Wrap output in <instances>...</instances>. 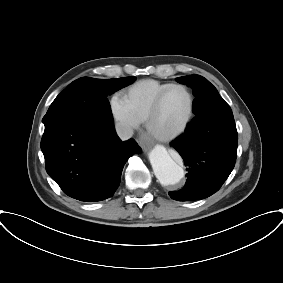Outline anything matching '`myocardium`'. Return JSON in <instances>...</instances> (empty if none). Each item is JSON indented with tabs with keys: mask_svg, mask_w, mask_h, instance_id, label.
I'll return each instance as SVG.
<instances>
[{
	"mask_svg": "<svg viewBox=\"0 0 283 283\" xmlns=\"http://www.w3.org/2000/svg\"><path fill=\"white\" fill-rule=\"evenodd\" d=\"M175 88H180L183 89L184 91H186V93L188 94L189 97V111L188 114L184 120V122L182 123V125L177 128L176 130L167 133V134H160L158 132H156L153 129V121L156 118L162 101L164 99V97L166 96V94ZM194 113H195V97L193 92L191 91V89L189 87H187L184 84H179V83H173L171 85H169L168 87H166L165 89H163L155 98L152 107L147 115V118L145 120V126L146 129L148 131L149 134H151L154 138H156L159 141H163V142H168V141H172L176 138H178L179 136H181L189 127L190 123L192 122V119L194 117Z\"/></svg>",
	"mask_w": 283,
	"mask_h": 283,
	"instance_id": "myocardium-1",
	"label": "myocardium"
}]
</instances>
